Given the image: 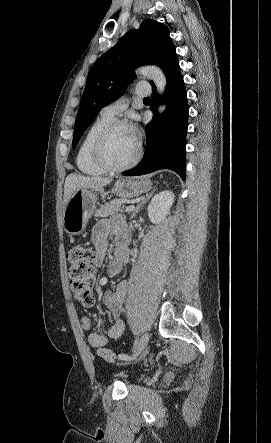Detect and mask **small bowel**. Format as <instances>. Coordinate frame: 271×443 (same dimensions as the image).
Listing matches in <instances>:
<instances>
[{"label":"small bowel","mask_w":271,"mask_h":443,"mask_svg":"<svg viewBox=\"0 0 271 443\" xmlns=\"http://www.w3.org/2000/svg\"><path fill=\"white\" fill-rule=\"evenodd\" d=\"M120 238V233L106 220L100 221L92 233V243L95 247L94 262L100 266L106 256L108 240L110 237ZM128 259V253L124 246L120 245L116 251L114 260L109 265V272L116 275L121 271L123 264ZM127 283L120 281L114 289L105 294L103 299L104 307L112 316V324L104 331L99 332L93 329V323L87 316H82L81 326L88 332V342L91 346L100 348L107 344L109 340H119L124 332L125 324L121 317Z\"/></svg>","instance_id":"c3829d8e"}]
</instances>
